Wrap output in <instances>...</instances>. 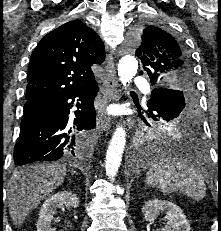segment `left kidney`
Returning a JSON list of instances; mask_svg holds the SVG:
<instances>
[{
    "instance_id": "5707ae66",
    "label": "left kidney",
    "mask_w": 221,
    "mask_h": 231,
    "mask_svg": "<svg viewBox=\"0 0 221 231\" xmlns=\"http://www.w3.org/2000/svg\"><path fill=\"white\" fill-rule=\"evenodd\" d=\"M160 212L166 213L167 225L162 231H190V224L181 208L166 200L153 199L145 202L142 207L144 219L153 223Z\"/></svg>"
}]
</instances>
